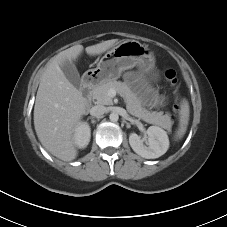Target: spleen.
I'll list each match as a JSON object with an SVG mask.
<instances>
[{
  "label": "spleen",
  "mask_w": 227,
  "mask_h": 227,
  "mask_svg": "<svg viewBox=\"0 0 227 227\" xmlns=\"http://www.w3.org/2000/svg\"><path fill=\"white\" fill-rule=\"evenodd\" d=\"M189 103L186 99L182 101L181 110H180V124L179 128L176 131L175 138L181 139L187 130V125L189 121Z\"/></svg>",
  "instance_id": "obj_1"
}]
</instances>
